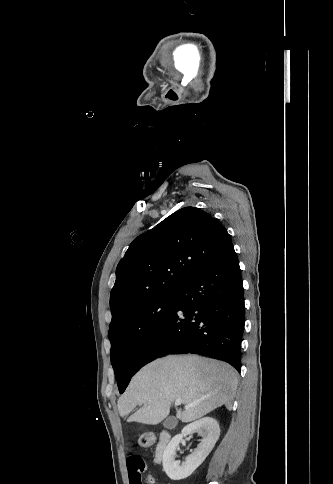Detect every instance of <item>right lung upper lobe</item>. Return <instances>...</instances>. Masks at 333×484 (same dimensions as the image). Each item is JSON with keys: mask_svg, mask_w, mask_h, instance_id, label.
I'll return each mask as SVG.
<instances>
[{"mask_svg": "<svg viewBox=\"0 0 333 484\" xmlns=\"http://www.w3.org/2000/svg\"><path fill=\"white\" fill-rule=\"evenodd\" d=\"M230 246L227 230L203 210L184 207L171 214L138 236L120 260L111 323L153 297L181 290Z\"/></svg>", "mask_w": 333, "mask_h": 484, "instance_id": "cb5924a9", "label": "right lung upper lobe"}]
</instances>
